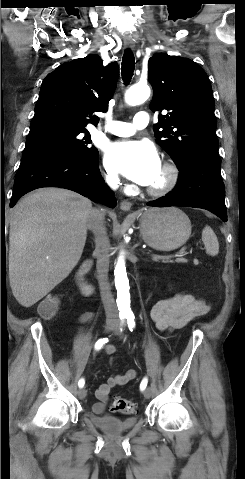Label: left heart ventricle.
Wrapping results in <instances>:
<instances>
[{
	"instance_id": "1",
	"label": "left heart ventricle",
	"mask_w": 245,
	"mask_h": 479,
	"mask_svg": "<svg viewBox=\"0 0 245 479\" xmlns=\"http://www.w3.org/2000/svg\"><path fill=\"white\" fill-rule=\"evenodd\" d=\"M164 179V172L163 170L161 169L160 170V173L158 174L156 180L151 184V186H155V185H158L160 184Z\"/></svg>"
}]
</instances>
